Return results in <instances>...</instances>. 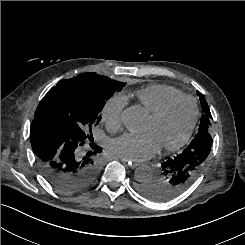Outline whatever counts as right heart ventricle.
<instances>
[{
    "instance_id": "1",
    "label": "right heart ventricle",
    "mask_w": 245,
    "mask_h": 245,
    "mask_svg": "<svg viewBox=\"0 0 245 245\" xmlns=\"http://www.w3.org/2000/svg\"><path fill=\"white\" fill-rule=\"evenodd\" d=\"M184 95L180 90L167 85H149L135 93L139 104L147 113H151L159 108L166 101Z\"/></svg>"
}]
</instances>
